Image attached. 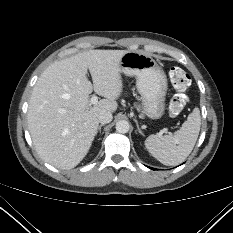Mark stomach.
I'll list each match as a JSON object with an SVG mask.
<instances>
[{
  "instance_id": "obj_1",
  "label": "stomach",
  "mask_w": 233,
  "mask_h": 233,
  "mask_svg": "<svg viewBox=\"0 0 233 233\" xmlns=\"http://www.w3.org/2000/svg\"><path fill=\"white\" fill-rule=\"evenodd\" d=\"M121 71L136 77L143 110L151 120L160 119L165 111L168 83L164 70L145 53L128 51L120 61Z\"/></svg>"
}]
</instances>
